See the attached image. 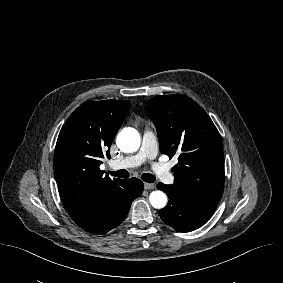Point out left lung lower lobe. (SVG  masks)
Listing matches in <instances>:
<instances>
[{
  "instance_id": "left-lung-lower-lobe-1",
  "label": "left lung lower lobe",
  "mask_w": 283,
  "mask_h": 283,
  "mask_svg": "<svg viewBox=\"0 0 283 283\" xmlns=\"http://www.w3.org/2000/svg\"><path fill=\"white\" fill-rule=\"evenodd\" d=\"M157 188L169 198L168 205L159 211L161 219L180 232H190L204 225L217 205L208 204L189 194L183 187L158 183Z\"/></svg>"
}]
</instances>
